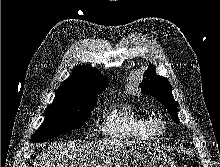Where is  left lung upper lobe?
<instances>
[{"instance_id": "left-lung-upper-lobe-1", "label": "left lung upper lobe", "mask_w": 220, "mask_h": 167, "mask_svg": "<svg viewBox=\"0 0 220 167\" xmlns=\"http://www.w3.org/2000/svg\"><path fill=\"white\" fill-rule=\"evenodd\" d=\"M143 81L139 87L144 95L154 96L161 104H163L169 111L172 119L175 122L178 120V103L173 99L172 87L169 81L156 74L155 67L149 65L148 70L145 72Z\"/></svg>"}]
</instances>
